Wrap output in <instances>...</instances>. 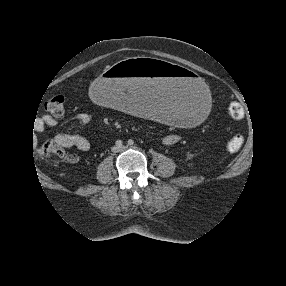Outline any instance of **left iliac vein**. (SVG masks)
Returning a JSON list of instances; mask_svg holds the SVG:
<instances>
[{"label":"left iliac vein","mask_w":286,"mask_h":286,"mask_svg":"<svg viewBox=\"0 0 286 286\" xmlns=\"http://www.w3.org/2000/svg\"><path fill=\"white\" fill-rule=\"evenodd\" d=\"M124 149H125V147H124V146L120 148V150H124Z\"/></svg>","instance_id":"left-iliac-vein-1"}]
</instances>
